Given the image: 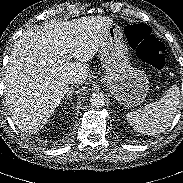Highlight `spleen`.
I'll use <instances>...</instances> for the list:
<instances>
[{
	"label": "spleen",
	"instance_id": "spleen-1",
	"mask_svg": "<svg viewBox=\"0 0 183 183\" xmlns=\"http://www.w3.org/2000/svg\"><path fill=\"white\" fill-rule=\"evenodd\" d=\"M180 90L173 85L158 102L147 104L141 111L126 114L130 126L143 135H157L171 124L179 104Z\"/></svg>",
	"mask_w": 183,
	"mask_h": 183
}]
</instances>
